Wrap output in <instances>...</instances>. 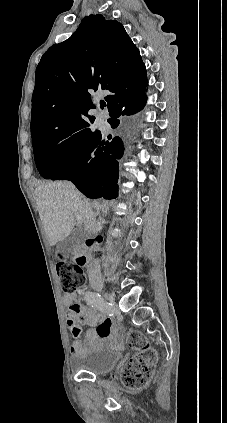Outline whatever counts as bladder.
Instances as JSON below:
<instances>
[{
    "mask_svg": "<svg viewBox=\"0 0 227 423\" xmlns=\"http://www.w3.org/2000/svg\"><path fill=\"white\" fill-rule=\"evenodd\" d=\"M121 355L117 350L93 349L76 357L74 369L96 376L109 375L119 364Z\"/></svg>",
    "mask_w": 227,
    "mask_h": 423,
    "instance_id": "31cf9c89",
    "label": "bladder"
}]
</instances>
